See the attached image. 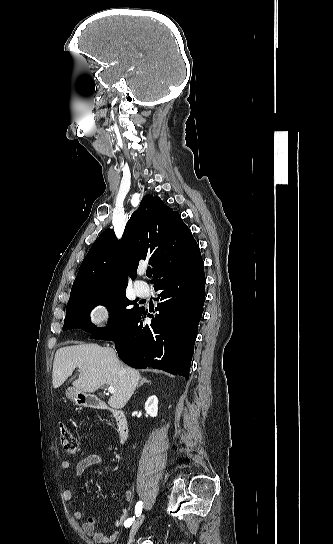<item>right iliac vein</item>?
<instances>
[{
    "label": "right iliac vein",
    "instance_id": "1",
    "mask_svg": "<svg viewBox=\"0 0 333 544\" xmlns=\"http://www.w3.org/2000/svg\"><path fill=\"white\" fill-rule=\"evenodd\" d=\"M144 518H145L144 515H140L139 518L133 523L130 529L129 537H128V544H132L139 527L144 521Z\"/></svg>",
    "mask_w": 333,
    "mask_h": 544
}]
</instances>
